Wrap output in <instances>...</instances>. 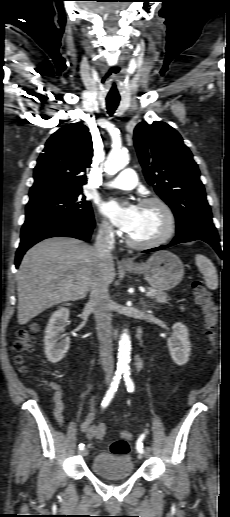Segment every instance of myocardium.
Here are the masks:
<instances>
[{
	"label": "myocardium",
	"instance_id": "myocardium-1",
	"mask_svg": "<svg viewBox=\"0 0 230 517\" xmlns=\"http://www.w3.org/2000/svg\"><path fill=\"white\" fill-rule=\"evenodd\" d=\"M148 204H156L163 212L165 217L164 230L158 237L148 241H137L131 236L127 235V243L133 248L149 249L160 246L166 243L175 233L177 224L176 217L170 205L164 199L158 196L146 197L140 202V206H145Z\"/></svg>",
	"mask_w": 230,
	"mask_h": 517
}]
</instances>
